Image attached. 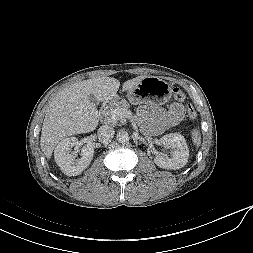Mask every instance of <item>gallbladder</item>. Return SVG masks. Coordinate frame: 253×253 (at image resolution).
Here are the masks:
<instances>
[{
	"instance_id": "gallbladder-1",
	"label": "gallbladder",
	"mask_w": 253,
	"mask_h": 253,
	"mask_svg": "<svg viewBox=\"0 0 253 253\" xmlns=\"http://www.w3.org/2000/svg\"><path fill=\"white\" fill-rule=\"evenodd\" d=\"M89 100L93 103V104H97L98 103V101H97V99L95 98V96L94 95H89Z\"/></svg>"
}]
</instances>
